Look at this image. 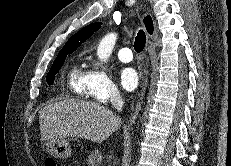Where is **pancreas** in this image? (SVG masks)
I'll list each match as a JSON object with an SVG mask.
<instances>
[{"mask_svg":"<svg viewBox=\"0 0 231 166\" xmlns=\"http://www.w3.org/2000/svg\"><path fill=\"white\" fill-rule=\"evenodd\" d=\"M102 153L98 150H94L90 153L87 159L88 166H99L102 162Z\"/></svg>","mask_w":231,"mask_h":166,"instance_id":"pancreas-1","label":"pancreas"}]
</instances>
